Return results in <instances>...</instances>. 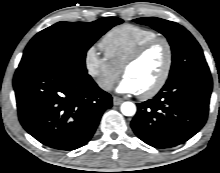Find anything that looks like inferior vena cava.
<instances>
[{
  "label": "inferior vena cava",
  "instance_id": "inferior-vena-cava-1",
  "mask_svg": "<svg viewBox=\"0 0 220 173\" xmlns=\"http://www.w3.org/2000/svg\"><path fill=\"white\" fill-rule=\"evenodd\" d=\"M100 87L103 89V90H111L112 87H113V83L108 81V80H105L103 81L101 84H100Z\"/></svg>",
  "mask_w": 220,
  "mask_h": 173
}]
</instances>
